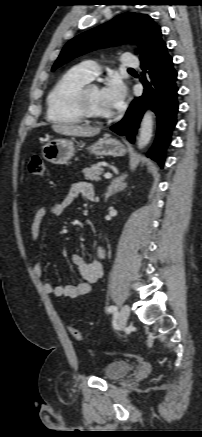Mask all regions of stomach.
I'll use <instances>...</instances> for the list:
<instances>
[{"instance_id":"obj_1","label":"stomach","mask_w":202,"mask_h":437,"mask_svg":"<svg viewBox=\"0 0 202 437\" xmlns=\"http://www.w3.org/2000/svg\"><path fill=\"white\" fill-rule=\"evenodd\" d=\"M91 154L97 156H124L127 152L125 146L114 138L104 137L87 148ZM75 154L73 141L58 139L48 142L42 147L43 158L53 164H64Z\"/></svg>"}]
</instances>
